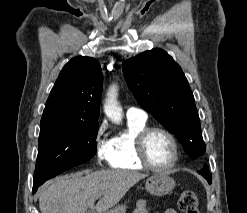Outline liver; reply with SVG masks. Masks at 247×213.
<instances>
[{
	"mask_svg": "<svg viewBox=\"0 0 247 213\" xmlns=\"http://www.w3.org/2000/svg\"><path fill=\"white\" fill-rule=\"evenodd\" d=\"M147 174L126 170H100L63 176L40 192L41 213H104L115 206L126 192ZM102 195V197H101ZM101 197L96 206V198Z\"/></svg>",
	"mask_w": 247,
	"mask_h": 213,
	"instance_id": "1",
	"label": "liver"
}]
</instances>
